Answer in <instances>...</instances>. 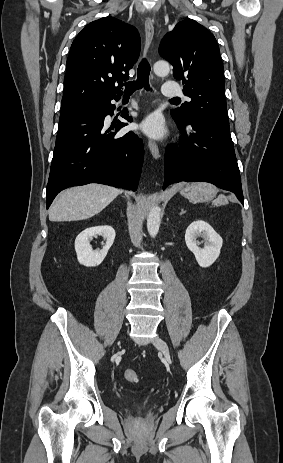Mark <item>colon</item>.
I'll use <instances>...</instances> for the list:
<instances>
[{"instance_id":"obj_1","label":"colon","mask_w":283,"mask_h":463,"mask_svg":"<svg viewBox=\"0 0 283 463\" xmlns=\"http://www.w3.org/2000/svg\"><path fill=\"white\" fill-rule=\"evenodd\" d=\"M124 377L128 382L131 383H135L139 379L137 372L131 369H128L124 372Z\"/></svg>"}]
</instances>
